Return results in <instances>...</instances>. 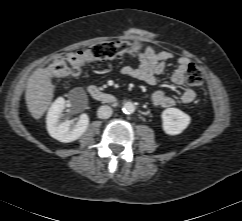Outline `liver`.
Returning a JSON list of instances; mask_svg holds the SVG:
<instances>
[{
    "mask_svg": "<svg viewBox=\"0 0 242 221\" xmlns=\"http://www.w3.org/2000/svg\"><path fill=\"white\" fill-rule=\"evenodd\" d=\"M55 86L46 68L36 69L27 81L26 104L32 117L40 119L51 104Z\"/></svg>",
    "mask_w": 242,
    "mask_h": 221,
    "instance_id": "obj_1",
    "label": "liver"
}]
</instances>
